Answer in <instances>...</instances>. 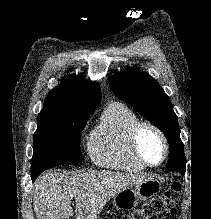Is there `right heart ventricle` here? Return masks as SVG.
<instances>
[{
    "instance_id": "1",
    "label": "right heart ventricle",
    "mask_w": 211,
    "mask_h": 219,
    "mask_svg": "<svg viewBox=\"0 0 211 219\" xmlns=\"http://www.w3.org/2000/svg\"><path fill=\"white\" fill-rule=\"evenodd\" d=\"M138 116L121 103L109 105L92 131L87 152L91 161L101 167L125 172L142 171L145 167L134 157L130 137Z\"/></svg>"
}]
</instances>
